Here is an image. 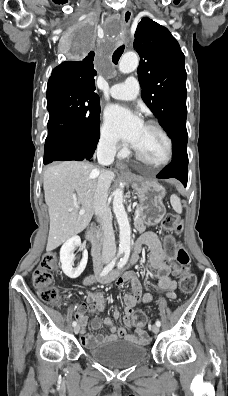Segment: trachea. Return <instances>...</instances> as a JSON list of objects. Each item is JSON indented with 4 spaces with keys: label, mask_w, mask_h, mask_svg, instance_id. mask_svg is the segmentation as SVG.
<instances>
[{
    "label": "trachea",
    "mask_w": 228,
    "mask_h": 396,
    "mask_svg": "<svg viewBox=\"0 0 228 396\" xmlns=\"http://www.w3.org/2000/svg\"><path fill=\"white\" fill-rule=\"evenodd\" d=\"M124 49H125V45H121L120 47H118V48L115 50V52L113 53V56H112V61H113L114 64H117V63H118V61H119L121 55H122L123 52H124Z\"/></svg>",
    "instance_id": "obj_1"
}]
</instances>
